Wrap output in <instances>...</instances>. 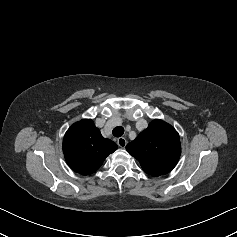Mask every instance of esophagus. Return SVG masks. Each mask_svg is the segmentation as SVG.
Returning <instances> with one entry per match:
<instances>
[{"mask_svg": "<svg viewBox=\"0 0 237 237\" xmlns=\"http://www.w3.org/2000/svg\"><path fill=\"white\" fill-rule=\"evenodd\" d=\"M117 144H118L119 147L125 148L126 144H127V141H126V139L124 137H120L117 140Z\"/></svg>", "mask_w": 237, "mask_h": 237, "instance_id": "34e87169", "label": "esophagus"}]
</instances>
